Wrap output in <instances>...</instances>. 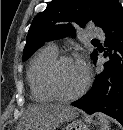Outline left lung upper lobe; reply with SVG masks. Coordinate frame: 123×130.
I'll return each instance as SVG.
<instances>
[{
  "label": "left lung upper lobe",
  "instance_id": "left-lung-upper-lobe-1",
  "mask_svg": "<svg viewBox=\"0 0 123 130\" xmlns=\"http://www.w3.org/2000/svg\"><path fill=\"white\" fill-rule=\"evenodd\" d=\"M121 8L118 0H53L32 21L23 51V61L44 42L74 35L76 25L84 27L92 20L96 26L107 30ZM96 54L95 50L91 58Z\"/></svg>",
  "mask_w": 123,
  "mask_h": 130
}]
</instances>
